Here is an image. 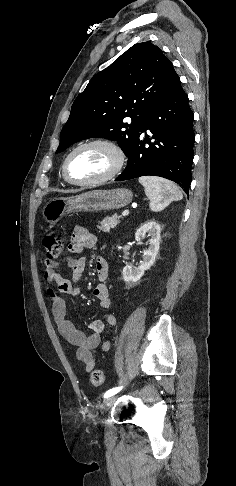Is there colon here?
Segmentation results:
<instances>
[{"label":"colon","instance_id":"5ec220e1","mask_svg":"<svg viewBox=\"0 0 236 486\" xmlns=\"http://www.w3.org/2000/svg\"><path fill=\"white\" fill-rule=\"evenodd\" d=\"M43 245L49 260L55 261L64 250V242L56 233H49L43 239ZM91 383L95 387H101L104 383V374L101 369H95L91 373Z\"/></svg>","mask_w":236,"mask_h":486}]
</instances>
